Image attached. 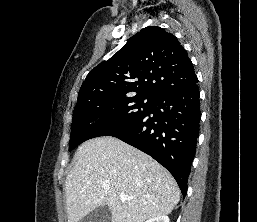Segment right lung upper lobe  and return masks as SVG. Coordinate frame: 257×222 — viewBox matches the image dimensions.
Listing matches in <instances>:
<instances>
[{"label":"right lung upper lobe","instance_id":"right-lung-upper-lobe-1","mask_svg":"<svg viewBox=\"0 0 257 222\" xmlns=\"http://www.w3.org/2000/svg\"><path fill=\"white\" fill-rule=\"evenodd\" d=\"M196 80L193 64L178 39L163 28L149 26L89 72L77 104L101 96L156 98Z\"/></svg>","mask_w":257,"mask_h":222}]
</instances>
